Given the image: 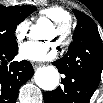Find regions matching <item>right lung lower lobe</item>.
<instances>
[{"label":"right lung lower lobe","instance_id":"obj_1","mask_svg":"<svg viewBox=\"0 0 103 103\" xmlns=\"http://www.w3.org/2000/svg\"><path fill=\"white\" fill-rule=\"evenodd\" d=\"M17 52L18 48L10 51L0 50V103H15L20 86L33 75L32 65L26 60L13 61L6 66Z\"/></svg>","mask_w":103,"mask_h":103}]
</instances>
